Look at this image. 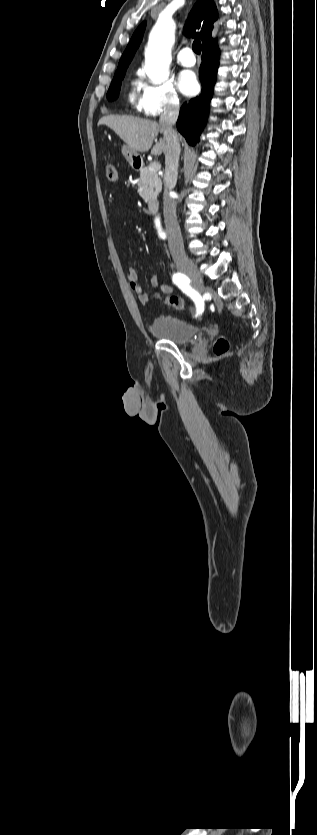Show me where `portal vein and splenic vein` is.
<instances>
[{"label": "portal vein and splenic vein", "mask_w": 317, "mask_h": 835, "mask_svg": "<svg viewBox=\"0 0 317 835\" xmlns=\"http://www.w3.org/2000/svg\"><path fill=\"white\" fill-rule=\"evenodd\" d=\"M160 168H161V164L159 162H152L149 165V170H151V171H158V170H160Z\"/></svg>", "instance_id": "18ae733b"}]
</instances>
